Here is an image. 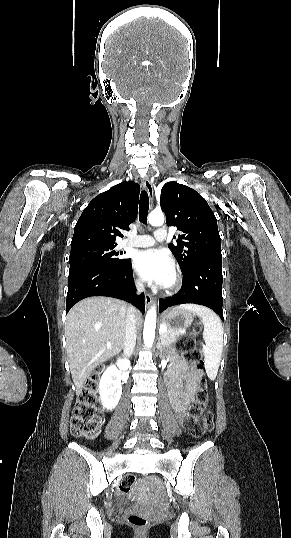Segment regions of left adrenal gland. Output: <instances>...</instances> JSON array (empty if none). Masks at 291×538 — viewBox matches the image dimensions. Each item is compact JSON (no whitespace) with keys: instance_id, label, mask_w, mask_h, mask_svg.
I'll return each instance as SVG.
<instances>
[{"instance_id":"1","label":"left adrenal gland","mask_w":291,"mask_h":538,"mask_svg":"<svg viewBox=\"0 0 291 538\" xmlns=\"http://www.w3.org/2000/svg\"><path fill=\"white\" fill-rule=\"evenodd\" d=\"M157 349L160 351V357H162L163 356L164 344L162 342H160V339L158 340V343H157Z\"/></svg>"}]
</instances>
